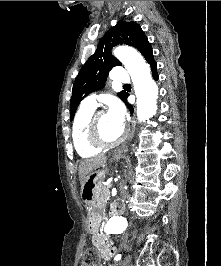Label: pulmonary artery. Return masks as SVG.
<instances>
[{"instance_id":"obj_1","label":"pulmonary artery","mask_w":221,"mask_h":266,"mask_svg":"<svg viewBox=\"0 0 221 266\" xmlns=\"http://www.w3.org/2000/svg\"><path fill=\"white\" fill-rule=\"evenodd\" d=\"M115 82L127 83L129 82V76L122 66H115L111 75ZM82 105L89 108H95L97 106L96 94L92 93L85 97L82 101Z\"/></svg>"}]
</instances>
